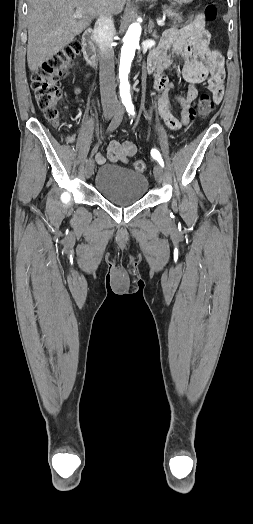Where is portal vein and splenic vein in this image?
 <instances>
[{
  "mask_svg": "<svg viewBox=\"0 0 253 524\" xmlns=\"http://www.w3.org/2000/svg\"><path fill=\"white\" fill-rule=\"evenodd\" d=\"M76 14L77 15H81L82 12L80 10H77ZM157 24L160 25V26H163L164 25V20L163 19H157Z\"/></svg>",
  "mask_w": 253,
  "mask_h": 524,
  "instance_id": "obj_1",
  "label": "portal vein and splenic vein"
}]
</instances>
